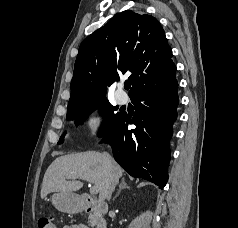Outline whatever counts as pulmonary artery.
<instances>
[{"label":"pulmonary artery","mask_w":238,"mask_h":228,"mask_svg":"<svg viewBox=\"0 0 238 228\" xmlns=\"http://www.w3.org/2000/svg\"><path fill=\"white\" fill-rule=\"evenodd\" d=\"M116 100L119 104H125L128 100L127 95L122 93L121 91L116 92Z\"/></svg>","instance_id":"e3ab8cb5"}]
</instances>
